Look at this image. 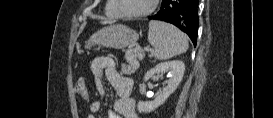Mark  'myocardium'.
<instances>
[{"label": "myocardium", "instance_id": "obj_1", "mask_svg": "<svg viewBox=\"0 0 273 118\" xmlns=\"http://www.w3.org/2000/svg\"><path fill=\"white\" fill-rule=\"evenodd\" d=\"M114 1L120 14L128 19H137V18H142V17H146L150 15L156 9L157 3H158V0H152L150 7L146 9L145 11H142L139 13H129L124 9L122 0H114Z\"/></svg>", "mask_w": 273, "mask_h": 118}]
</instances>
